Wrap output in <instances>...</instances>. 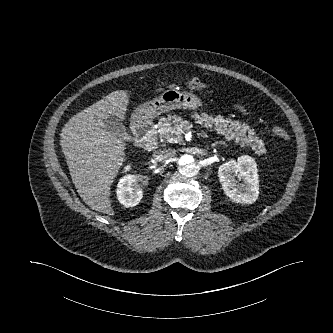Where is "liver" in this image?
Returning <instances> with one entry per match:
<instances>
[{
    "instance_id": "obj_1",
    "label": "liver",
    "mask_w": 333,
    "mask_h": 333,
    "mask_svg": "<svg viewBox=\"0 0 333 333\" xmlns=\"http://www.w3.org/2000/svg\"><path fill=\"white\" fill-rule=\"evenodd\" d=\"M128 105L127 91L111 92L73 116L61 133V145L79 196L93 210L108 215H114L110 189L125 161L126 144L105 131L97 119L105 115L125 120Z\"/></svg>"
}]
</instances>
